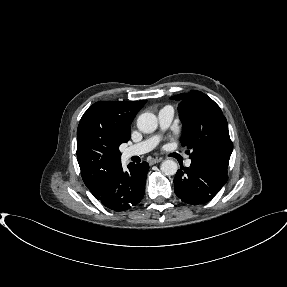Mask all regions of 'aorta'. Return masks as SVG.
<instances>
[{
	"label": "aorta",
	"instance_id": "aorta-1",
	"mask_svg": "<svg viewBox=\"0 0 287 287\" xmlns=\"http://www.w3.org/2000/svg\"><path fill=\"white\" fill-rule=\"evenodd\" d=\"M158 127L157 117L153 113H142L137 119V128L143 133H152ZM178 165L174 160H164L161 164V171L165 175H174Z\"/></svg>",
	"mask_w": 287,
	"mask_h": 287
}]
</instances>
